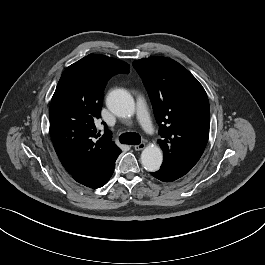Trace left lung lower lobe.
<instances>
[{
  "label": "left lung lower lobe",
  "mask_w": 265,
  "mask_h": 265,
  "mask_svg": "<svg viewBox=\"0 0 265 265\" xmlns=\"http://www.w3.org/2000/svg\"><path fill=\"white\" fill-rule=\"evenodd\" d=\"M152 176H154L155 178L164 181V182H172L174 181L173 179H171L170 177H168L167 175H165L164 173L157 171V172H152L151 173Z\"/></svg>",
  "instance_id": "obj_1"
}]
</instances>
